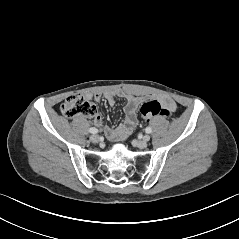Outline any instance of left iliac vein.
I'll return each mask as SVG.
<instances>
[{
  "label": "left iliac vein",
  "instance_id": "obj_1",
  "mask_svg": "<svg viewBox=\"0 0 239 239\" xmlns=\"http://www.w3.org/2000/svg\"><path fill=\"white\" fill-rule=\"evenodd\" d=\"M149 140L150 136L145 135L142 140L136 142V145L141 149L146 148Z\"/></svg>",
  "mask_w": 239,
  "mask_h": 239
}]
</instances>
